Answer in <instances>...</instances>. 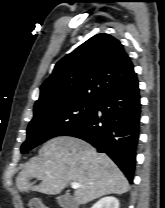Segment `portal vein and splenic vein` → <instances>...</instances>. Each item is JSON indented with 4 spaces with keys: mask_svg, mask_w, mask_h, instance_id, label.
Here are the masks:
<instances>
[{
    "mask_svg": "<svg viewBox=\"0 0 165 208\" xmlns=\"http://www.w3.org/2000/svg\"><path fill=\"white\" fill-rule=\"evenodd\" d=\"M71 187H72L73 189H77V188H79V187H82V185H80V184L77 183V182H72V183H71Z\"/></svg>",
    "mask_w": 165,
    "mask_h": 208,
    "instance_id": "obj_1",
    "label": "portal vein and splenic vein"
}]
</instances>
